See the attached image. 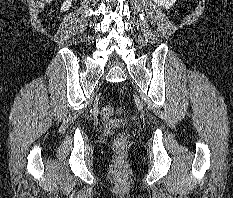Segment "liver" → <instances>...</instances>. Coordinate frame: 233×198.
<instances>
[{
	"label": "liver",
	"instance_id": "6515ba94",
	"mask_svg": "<svg viewBox=\"0 0 233 198\" xmlns=\"http://www.w3.org/2000/svg\"><path fill=\"white\" fill-rule=\"evenodd\" d=\"M45 1L46 3H51L53 0H42Z\"/></svg>",
	"mask_w": 233,
	"mask_h": 198
}]
</instances>
